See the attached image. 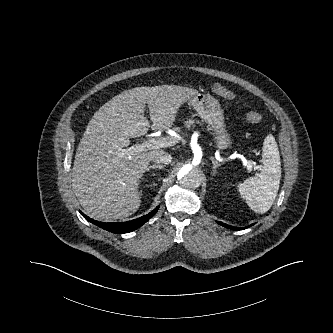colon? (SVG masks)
<instances>
[{
  "instance_id": "obj_1",
  "label": "colon",
  "mask_w": 333,
  "mask_h": 333,
  "mask_svg": "<svg viewBox=\"0 0 333 333\" xmlns=\"http://www.w3.org/2000/svg\"><path fill=\"white\" fill-rule=\"evenodd\" d=\"M213 91L214 93H216L217 95L228 99V100H236L237 96L234 92H232L231 90L227 89L226 87L220 85V84H215L213 86ZM246 119L251 122V123H260L262 121V115L259 114L258 112L255 111H247L246 112Z\"/></svg>"
}]
</instances>
